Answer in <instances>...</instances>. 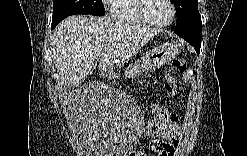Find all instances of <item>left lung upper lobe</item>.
I'll use <instances>...</instances> for the list:
<instances>
[{
  "instance_id": "1",
  "label": "left lung upper lobe",
  "mask_w": 247,
  "mask_h": 156,
  "mask_svg": "<svg viewBox=\"0 0 247 156\" xmlns=\"http://www.w3.org/2000/svg\"><path fill=\"white\" fill-rule=\"evenodd\" d=\"M177 13L175 29H181L201 21L198 0H173Z\"/></svg>"
}]
</instances>
